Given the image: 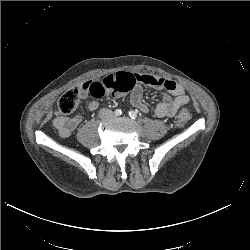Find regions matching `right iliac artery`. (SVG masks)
I'll return each instance as SVG.
<instances>
[{
    "label": "right iliac artery",
    "instance_id": "1",
    "mask_svg": "<svg viewBox=\"0 0 250 250\" xmlns=\"http://www.w3.org/2000/svg\"><path fill=\"white\" fill-rule=\"evenodd\" d=\"M114 113L116 116H120L122 114V111L121 109H116Z\"/></svg>",
    "mask_w": 250,
    "mask_h": 250
}]
</instances>
